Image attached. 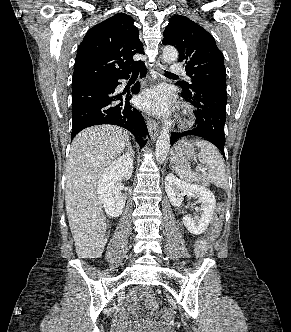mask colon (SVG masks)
Returning <instances> with one entry per match:
<instances>
[{"mask_svg":"<svg viewBox=\"0 0 291 332\" xmlns=\"http://www.w3.org/2000/svg\"><path fill=\"white\" fill-rule=\"evenodd\" d=\"M222 220H223V204H221L214 216V220L212 222V226L208 232L207 241L210 247H213L216 243V240L221 232L222 228Z\"/></svg>","mask_w":291,"mask_h":332,"instance_id":"1","label":"colon"}]
</instances>
